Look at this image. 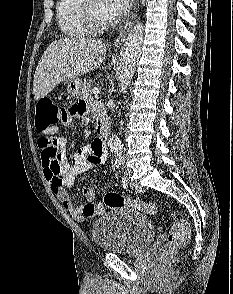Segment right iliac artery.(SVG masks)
<instances>
[{"mask_svg": "<svg viewBox=\"0 0 233 294\" xmlns=\"http://www.w3.org/2000/svg\"><path fill=\"white\" fill-rule=\"evenodd\" d=\"M115 164H116V168H121L122 167V165H123V163H121V162H115Z\"/></svg>", "mask_w": 233, "mask_h": 294, "instance_id": "obj_1", "label": "right iliac artery"}]
</instances>
